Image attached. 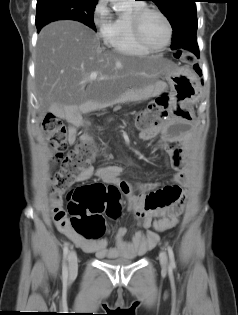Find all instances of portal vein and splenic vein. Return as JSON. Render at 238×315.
I'll list each match as a JSON object with an SVG mask.
<instances>
[{
	"instance_id": "18ae733b",
	"label": "portal vein and splenic vein",
	"mask_w": 238,
	"mask_h": 315,
	"mask_svg": "<svg viewBox=\"0 0 238 315\" xmlns=\"http://www.w3.org/2000/svg\"><path fill=\"white\" fill-rule=\"evenodd\" d=\"M98 77V73L97 72H91L88 79L86 81H92V80H95L97 79ZM101 79H104V78H101Z\"/></svg>"
}]
</instances>
